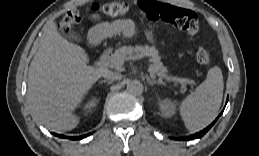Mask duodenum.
<instances>
[{
	"mask_svg": "<svg viewBox=\"0 0 259 156\" xmlns=\"http://www.w3.org/2000/svg\"><path fill=\"white\" fill-rule=\"evenodd\" d=\"M110 54V49H106L102 52V54L100 55L99 59L96 61V66L98 68H105L106 64H107V60H108V56Z\"/></svg>",
	"mask_w": 259,
	"mask_h": 156,
	"instance_id": "1",
	"label": "duodenum"
}]
</instances>
